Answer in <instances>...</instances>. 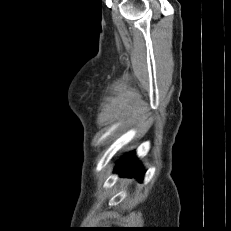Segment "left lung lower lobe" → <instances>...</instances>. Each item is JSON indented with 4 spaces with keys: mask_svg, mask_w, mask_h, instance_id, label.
<instances>
[{
    "mask_svg": "<svg viewBox=\"0 0 231 231\" xmlns=\"http://www.w3.org/2000/svg\"><path fill=\"white\" fill-rule=\"evenodd\" d=\"M115 172H120L123 175L136 176L139 180L143 179L144 171L140 169V165L137 163L134 152H131L124 156L117 164Z\"/></svg>",
    "mask_w": 231,
    "mask_h": 231,
    "instance_id": "obj_1",
    "label": "left lung lower lobe"
}]
</instances>
